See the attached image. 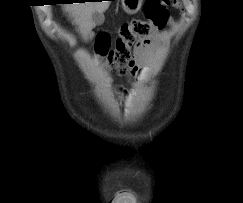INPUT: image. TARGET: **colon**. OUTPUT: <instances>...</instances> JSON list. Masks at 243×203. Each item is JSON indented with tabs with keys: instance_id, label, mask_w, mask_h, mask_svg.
<instances>
[{
	"instance_id": "colon-1",
	"label": "colon",
	"mask_w": 243,
	"mask_h": 203,
	"mask_svg": "<svg viewBox=\"0 0 243 203\" xmlns=\"http://www.w3.org/2000/svg\"><path fill=\"white\" fill-rule=\"evenodd\" d=\"M181 8L180 0H146L143 19H133L121 25L114 48L107 33H100L96 40V53L111 70L126 68L131 63V50L167 22V9Z\"/></svg>"
}]
</instances>
